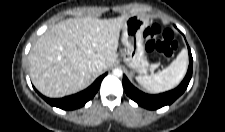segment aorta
Returning <instances> with one entry per match:
<instances>
[{
    "instance_id": "aorta-1",
    "label": "aorta",
    "mask_w": 225,
    "mask_h": 132,
    "mask_svg": "<svg viewBox=\"0 0 225 132\" xmlns=\"http://www.w3.org/2000/svg\"><path fill=\"white\" fill-rule=\"evenodd\" d=\"M113 75L117 76V77H121L123 75V72L121 69L116 68L113 70Z\"/></svg>"
}]
</instances>
